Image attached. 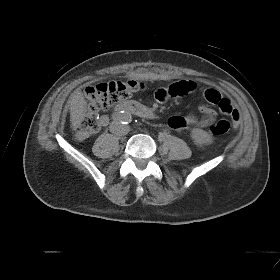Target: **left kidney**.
Returning a JSON list of instances; mask_svg holds the SVG:
<instances>
[{
	"mask_svg": "<svg viewBox=\"0 0 280 280\" xmlns=\"http://www.w3.org/2000/svg\"><path fill=\"white\" fill-rule=\"evenodd\" d=\"M191 137L196 145L210 144L213 141L212 136L202 129H193Z\"/></svg>",
	"mask_w": 280,
	"mask_h": 280,
	"instance_id": "5707ae66",
	"label": "left kidney"
}]
</instances>
